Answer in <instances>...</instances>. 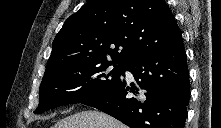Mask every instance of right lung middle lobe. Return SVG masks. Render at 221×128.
Wrapping results in <instances>:
<instances>
[{"label":"right lung middle lobe","mask_w":221,"mask_h":128,"mask_svg":"<svg viewBox=\"0 0 221 128\" xmlns=\"http://www.w3.org/2000/svg\"><path fill=\"white\" fill-rule=\"evenodd\" d=\"M110 63L75 61L46 71L41 82L39 105L41 113L61 105L83 103L102 95L115 86L124 75L126 65H114L106 72Z\"/></svg>","instance_id":"dd1d6c3e"}]
</instances>
